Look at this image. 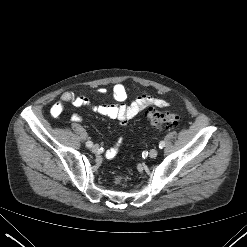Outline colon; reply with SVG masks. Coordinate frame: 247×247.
<instances>
[{"label":"colon","mask_w":247,"mask_h":247,"mask_svg":"<svg viewBox=\"0 0 247 247\" xmlns=\"http://www.w3.org/2000/svg\"><path fill=\"white\" fill-rule=\"evenodd\" d=\"M147 118L152 127L162 130L171 129L179 125L181 116L175 113L160 112L155 109H149L147 112ZM118 180L121 177L117 178Z\"/></svg>","instance_id":"1"}]
</instances>
